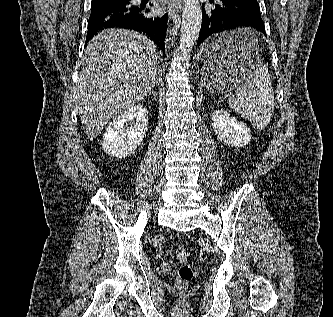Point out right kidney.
<instances>
[{
  "label": "right kidney",
  "mask_w": 333,
  "mask_h": 317,
  "mask_svg": "<svg viewBox=\"0 0 333 317\" xmlns=\"http://www.w3.org/2000/svg\"><path fill=\"white\" fill-rule=\"evenodd\" d=\"M135 121L131 130L124 125ZM148 111L143 105H135L117 115L108 125L102 139V148L107 155L124 158L141 144L147 131Z\"/></svg>",
  "instance_id": "1"
}]
</instances>
